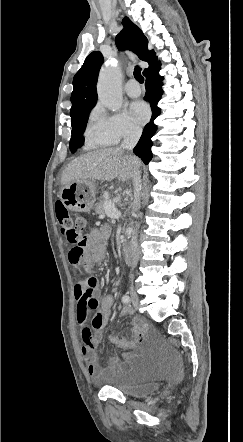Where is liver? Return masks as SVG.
<instances>
[{
    "label": "liver",
    "mask_w": 243,
    "mask_h": 442,
    "mask_svg": "<svg viewBox=\"0 0 243 442\" xmlns=\"http://www.w3.org/2000/svg\"><path fill=\"white\" fill-rule=\"evenodd\" d=\"M138 158L124 154L118 147L99 149L85 153L74 159L64 170L61 178L63 186L78 180L111 181L118 178L128 181L133 178Z\"/></svg>",
    "instance_id": "liver-1"
}]
</instances>
